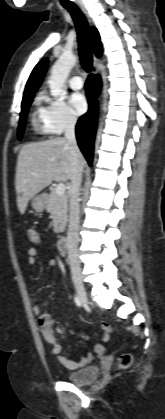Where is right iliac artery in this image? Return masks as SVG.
<instances>
[{
  "mask_svg": "<svg viewBox=\"0 0 165 419\" xmlns=\"http://www.w3.org/2000/svg\"><path fill=\"white\" fill-rule=\"evenodd\" d=\"M75 303H76V305L77 306H81L82 304H81V300L79 299V297L78 296H75Z\"/></svg>",
  "mask_w": 165,
  "mask_h": 419,
  "instance_id": "right-iliac-artery-1",
  "label": "right iliac artery"
}]
</instances>
